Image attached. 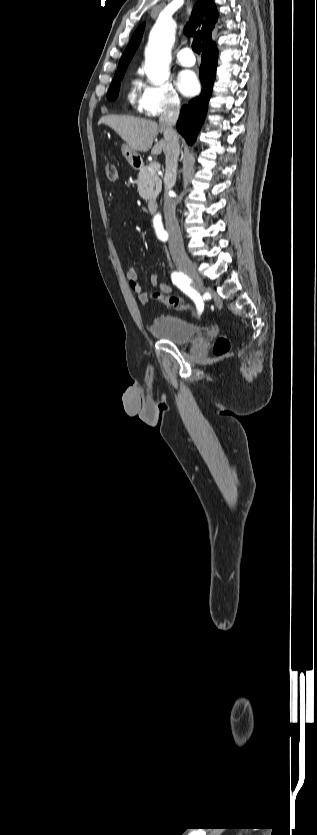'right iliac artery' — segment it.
<instances>
[{"mask_svg": "<svg viewBox=\"0 0 317 835\" xmlns=\"http://www.w3.org/2000/svg\"><path fill=\"white\" fill-rule=\"evenodd\" d=\"M171 278H172L173 283H174V284H175V285H176V286H177V287H178L181 291H183L186 295H188V296H189V297H190V298H191V299L195 302V304H196V306H197V309H198L199 313H201V312H202V310H203V308H204L203 299H202V297L199 295V293H197V291H195V290H194V289L190 286V280H189V278L187 277V275H185V274H184L183 272H181V271H179V272H178V271H175V272H173V273H172Z\"/></svg>", "mask_w": 317, "mask_h": 835, "instance_id": "1", "label": "right iliac artery"}]
</instances>
